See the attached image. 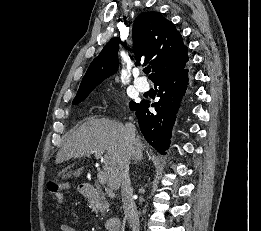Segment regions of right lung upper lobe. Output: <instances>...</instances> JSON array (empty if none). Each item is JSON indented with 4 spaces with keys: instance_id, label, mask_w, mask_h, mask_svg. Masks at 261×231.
Segmentation results:
<instances>
[{
    "instance_id": "obj_1",
    "label": "right lung upper lobe",
    "mask_w": 261,
    "mask_h": 231,
    "mask_svg": "<svg viewBox=\"0 0 261 231\" xmlns=\"http://www.w3.org/2000/svg\"><path fill=\"white\" fill-rule=\"evenodd\" d=\"M134 51L144 64L152 66L149 78L157 79L184 69L188 63V48L174 24L159 12H144L137 16L133 25ZM119 39H111L90 64L77 94L91 92L118 68Z\"/></svg>"
}]
</instances>
